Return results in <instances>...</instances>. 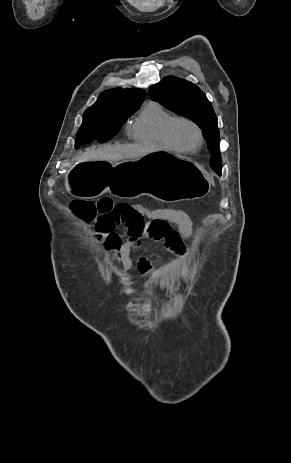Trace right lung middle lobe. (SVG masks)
Returning a JSON list of instances; mask_svg holds the SVG:
<instances>
[{
    "label": "right lung middle lobe",
    "instance_id": "obj_1",
    "mask_svg": "<svg viewBox=\"0 0 291 463\" xmlns=\"http://www.w3.org/2000/svg\"><path fill=\"white\" fill-rule=\"evenodd\" d=\"M141 103L127 108L100 107L87 109L83 122L78 130L75 148L97 140L100 143L108 141L124 124L127 117L132 114Z\"/></svg>",
    "mask_w": 291,
    "mask_h": 463
}]
</instances>
